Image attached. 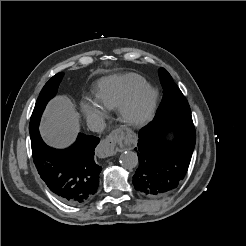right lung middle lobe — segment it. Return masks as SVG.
Here are the masks:
<instances>
[{"label": "right lung middle lobe", "instance_id": "dd1d6c3e", "mask_svg": "<svg viewBox=\"0 0 246 246\" xmlns=\"http://www.w3.org/2000/svg\"><path fill=\"white\" fill-rule=\"evenodd\" d=\"M63 73H57L53 76L43 87L41 93L36 101L33 113L30 119L29 131H32L39 126L41 115L45 109L46 104L50 99H52L56 93L59 83L63 77Z\"/></svg>", "mask_w": 246, "mask_h": 246}]
</instances>
